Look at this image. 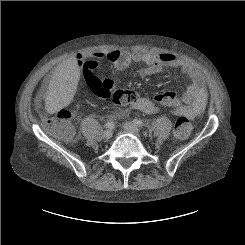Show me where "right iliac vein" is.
Masks as SVG:
<instances>
[{"instance_id": "obj_1", "label": "right iliac vein", "mask_w": 245, "mask_h": 245, "mask_svg": "<svg viewBox=\"0 0 245 245\" xmlns=\"http://www.w3.org/2000/svg\"><path fill=\"white\" fill-rule=\"evenodd\" d=\"M113 136V131L111 129H107L103 132V138L104 139H110Z\"/></svg>"}]
</instances>
